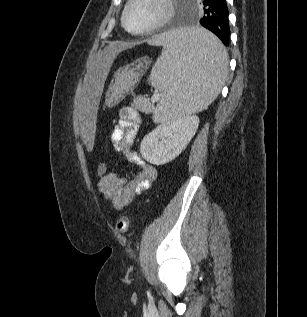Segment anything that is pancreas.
<instances>
[{"mask_svg":"<svg viewBox=\"0 0 307 317\" xmlns=\"http://www.w3.org/2000/svg\"><path fill=\"white\" fill-rule=\"evenodd\" d=\"M142 105L141 110L146 112L154 111L153 104L150 103L149 99H142L140 103Z\"/></svg>","mask_w":307,"mask_h":317,"instance_id":"cf45deb5","label":"pancreas"}]
</instances>
